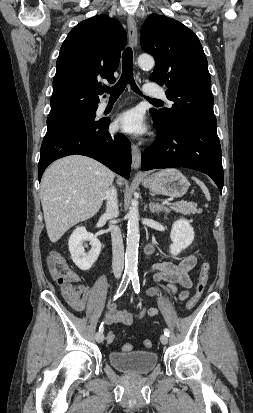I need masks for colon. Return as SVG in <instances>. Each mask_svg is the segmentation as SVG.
<instances>
[{"mask_svg":"<svg viewBox=\"0 0 253 413\" xmlns=\"http://www.w3.org/2000/svg\"><path fill=\"white\" fill-rule=\"evenodd\" d=\"M47 265H48V269H49L51 276L60 285L68 284L72 282L73 279L75 278V273L67 265L65 259L57 252L50 253L47 259ZM209 272H210V264L209 262L204 261L200 268L198 281L195 287V293L186 303L185 307L187 311L192 310L196 306L198 301L200 300L207 285V281L209 278ZM106 340L107 342L112 343L115 340L114 332L112 331L108 332L106 336ZM152 345L153 343L150 339L144 340V346L146 348H151ZM123 350L130 351L131 345L125 344L123 346Z\"/></svg>","mask_w":253,"mask_h":413,"instance_id":"colon-1","label":"colon"}]
</instances>
